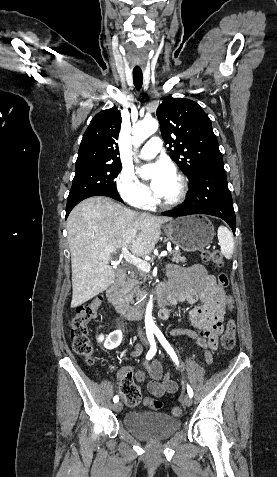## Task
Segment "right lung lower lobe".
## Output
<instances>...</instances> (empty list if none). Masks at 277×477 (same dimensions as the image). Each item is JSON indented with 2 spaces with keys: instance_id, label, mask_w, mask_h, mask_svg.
Returning a JSON list of instances; mask_svg holds the SVG:
<instances>
[{
  "instance_id": "obj_1",
  "label": "right lung lower lobe",
  "mask_w": 277,
  "mask_h": 477,
  "mask_svg": "<svg viewBox=\"0 0 277 477\" xmlns=\"http://www.w3.org/2000/svg\"><path fill=\"white\" fill-rule=\"evenodd\" d=\"M108 197H111V198L116 199V200H118V201H122V199H121L119 196H108ZM70 211H71V210H70ZM70 211H66V218H67V216L69 215Z\"/></svg>"
}]
</instances>
